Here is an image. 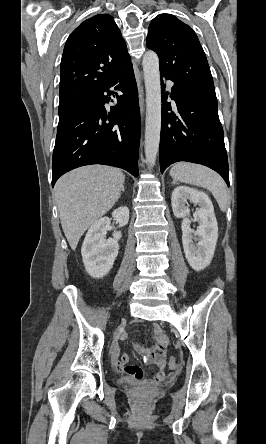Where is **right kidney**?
<instances>
[{"label":"right kidney","instance_id":"obj_1","mask_svg":"<svg viewBox=\"0 0 266 444\" xmlns=\"http://www.w3.org/2000/svg\"><path fill=\"white\" fill-rule=\"evenodd\" d=\"M112 217L124 226L129 221V209L126 206L114 210ZM111 220L103 217L96 221L88 230L81 254L87 273L93 278H102L109 273L118 255L122 234L115 232L113 238L106 239Z\"/></svg>","mask_w":266,"mask_h":444}]
</instances>
